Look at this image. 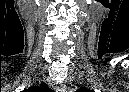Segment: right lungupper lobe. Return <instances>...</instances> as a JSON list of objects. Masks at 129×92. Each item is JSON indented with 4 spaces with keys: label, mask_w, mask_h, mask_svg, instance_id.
I'll list each match as a JSON object with an SVG mask.
<instances>
[{
    "label": "right lung upper lobe",
    "mask_w": 129,
    "mask_h": 92,
    "mask_svg": "<svg viewBox=\"0 0 129 92\" xmlns=\"http://www.w3.org/2000/svg\"><path fill=\"white\" fill-rule=\"evenodd\" d=\"M47 85L42 83L40 86H32L29 89L24 90L23 92H39L41 90H47Z\"/></svg>",
    "instance_id": "1"
}]
</instances>
